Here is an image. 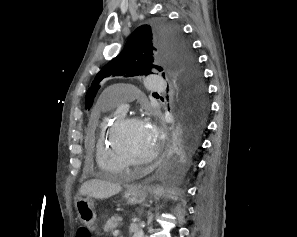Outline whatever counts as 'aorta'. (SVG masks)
Wrapping results in <instances>:
<instances>
[{
	"mask_svg": "<svg viewBox=\"0 0 297 237\" xmlns=\"http://www.w3.org/2000/svg\"><path fill=\"white\" fill-rule=\"evenodd\" d=\"M133 237H144V231L142 227L133 234Z\"/></svg>",
	"mask_w": 297,
	"mask_h": 237,
	"instance_id": "aorta-1",
	"label": "aorta"
}]
</instances>
